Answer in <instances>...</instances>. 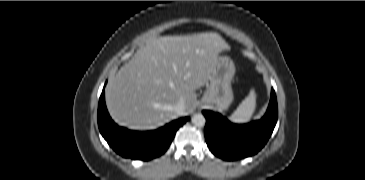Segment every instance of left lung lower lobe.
<instances>
[{
  "label": "left lung lower lobe",
  "mask_w": 365,
  "mask_h": 180,
  "mask_svg": "<svg viewBox=\"0 0 365 180\" xmlns=\"http://www.w3.org/2000/svg\"><path fill=\"white\" fill-rule=\"evenodd\" d=\"M205 139L212 153L224 160H236L256 154L271 136L278 118L275 91L261 120L244 125L229 122L219 113L204 110Z\"/></svg>",
  "instance_id": "left-lung-lower-lobe-1"
}]
</instances>
